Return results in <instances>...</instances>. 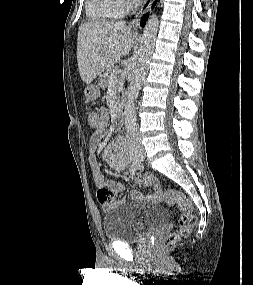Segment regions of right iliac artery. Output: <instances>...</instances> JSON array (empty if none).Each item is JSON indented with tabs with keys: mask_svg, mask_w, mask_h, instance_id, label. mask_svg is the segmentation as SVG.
Here are the masks:
<instances>
[{
	"mask_svg": "<svg viewBox=\"0 0 253 285\" xmlns=\"http://www.w3.org/2000/svg\"><path fill=\"white\" fill-rule=\"evenodd\" d=\"M139 165H140V164H139V160L136 159V157H135L134 160H133V164H132L131 167H130V174H131V175H134V174H135V172H136V170H137V167H138Z\"/></svg>",
	"mask_w": 253,
	"mask_h": 285,
	"instance_id": "1",
	"label": "right iliac artery"
}]
</instances>
